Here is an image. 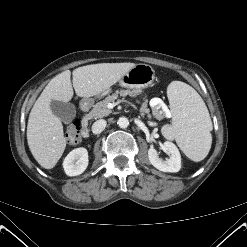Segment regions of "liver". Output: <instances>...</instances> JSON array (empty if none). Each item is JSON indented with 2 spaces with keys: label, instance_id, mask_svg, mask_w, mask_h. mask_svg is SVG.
<instances>
[{
  "label": "liver",
  "instance_id": "liver-1",
  "mask_svg": "<svg viewBox=\"0 0 247 247\" xmlns=\"http://www.w3.org/2000/svg\"><path fill=\"white\" fill-rule=\"evenodd\" d=\"M134 63H99L73 70V87L69 70L55 76L35 102L28 118L27 142L35 160L45 169L53 168L61 158L65 147L63 125L52 113V100L69 102L77 97H92L117 83Z\"/></svg>",
  "mask_w": 247,
  "mask_h": 247
}]
</instances>
